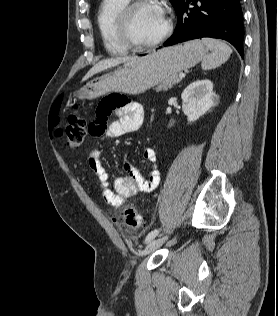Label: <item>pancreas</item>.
Returning <instances> with one entry per match:
<instances>
[{
    "mask_svg": "<svg viewBox=\"0 0 278 316\" xmlns=\"http://www.w3.org/2000/svg\"><path fill=\"white\" fill-rule=\"evenodd\" d=\"M181 81L179 74L171 75L166 78L163 82L159 83L156 90L159 91H167L172 88L173 85L178 84Z\"/></svg>",
    "mask_w": 278,
    "mask_h": 316,
    "instance_id": "pancreas-1",
    "label": "pancreas"
}]
</instances>
